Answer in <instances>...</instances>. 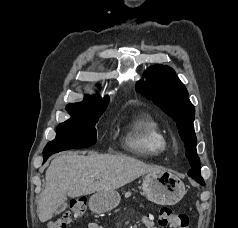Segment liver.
<instances>
[{"instance_id":"6515ba94","label":"liver","mask_w":238,"mask_h":228,"mask_svg":"<svg viewBox=\"0 0 238 228\" xmlns=\"http://www.w3.org/2000/svg\"><path fill=\"white\" fill-rule=\"evenodd\" d=\"M161 171L159 167L124 155H60L46 170L45 188L37 203L39 220H50L67 196L114 191L144 174Z\"/></svg>"}]
</instances>
